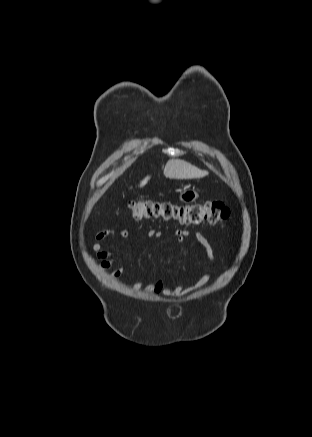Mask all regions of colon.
<instances>
[{
  "instance_id": "colon-1",
  "label": "colon",
  "mask_w": 312,
  "mask_h": 437,
  "mask_svg": "<svg viewBox=\"0 0 312 437\" xmlns=\"http://www.w3.org/2000/svg\"><path fill=\"white\" fill-rule=\"evenodd\" d=\"M128 207L132 218L136 221L163 219L186 225H197L203 222L221 225L230 217L229 209L219 201L177 205L170 201L137 199L131 200Z\"/></svg>"
}]
</instances>
